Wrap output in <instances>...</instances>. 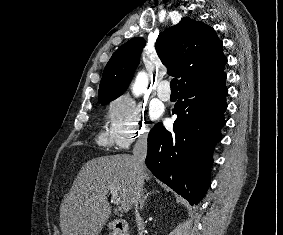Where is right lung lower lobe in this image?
Listing matches in <instances>:
<instances>
[{
	"label": "right lung lower lobe",
	"instance_id": "obj_1",
	"mask_svg": "<svg viewBox=\"0 0 283 235\" xmlns=\"http://www.w3.org/2000/svg\"><path fill=\"white\" fill-rule=\"evenodd\" d=\"M226 74L185 84L172 111L173 132L159 123L148 136L146 165L176 193L197 205L210 185L213 150L221 140L227 108Z\"/></svg>",
	"mask_w": 283,
	"mask_h": 235
}]
</instances>
